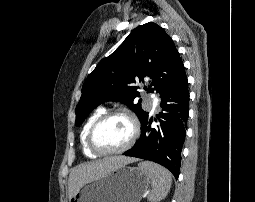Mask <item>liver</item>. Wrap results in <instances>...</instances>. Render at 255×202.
<instances>
[{
	"instance_id": "6515ba94",
	"label": "liver",
	"mask_w": 255,
	"mask_h": 202,
	"mask_svg": "<svg viewBox=\"0 0 255 202\" xmlns=\"http://www.w3.org/2000/svg\"><path fill=\"white\" fill-rule=\"evenodd\" d=\"M135 158L125 156L107 157L98 161L80 164L74 167L69 175L68 180V196L69 199L82 187L85 183L101 177L107 172L135 162Z\"/></svg>"
}]
</instances>
